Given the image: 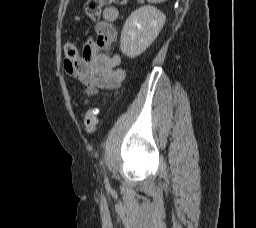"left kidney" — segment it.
I'll list each match as a JSON object with an SVG mask.
<instances>
[{
  "label": "left kidney",
  "mask_w": 256,
  "mask_h": 228,
  "mask_svg": "<svg viewBox=\"0 0 256 228\" xmlns=\"http://www.w3.org/2000/svg\"><path fill=\"white\" fill-rule=\"evenodd\" d=\"M165 21L164 13L150 5L132 12L121 32L122 53L130 58L142 54L154 42Z\"/></svg>",
  "instance_id": "5707ae66"
}]
</instances>
